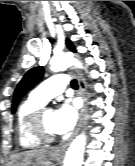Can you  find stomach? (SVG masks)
Masks as SVG:
<instances>
[{"label":"stomach","mask_w":135,"mask_h":166,"mask_svg":"<svg viewBox=\"0 0 135 166\" xmlns=\"http://www.w3.org/2000/svg\"><path fill=\"white\" fill-rule=\"evenodd\" d=\"M15 158H17V159H13V160L11 159L8 166H17L15 161H21V157L19 155H17V156H15ZM59 158H60V156L57 153L51 152V155H50L51 160H58ZM29 166H46V165H43L41 163H34Z\"/></svg>","instance_id":"0dacf381"}]
</instances>
